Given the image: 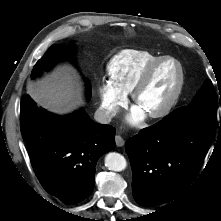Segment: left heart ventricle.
<instances>
[{
    "label": "left heart ventricle",
    "mask_w": 221,
    "mask_h": 221,
    "mask_svg": "<svg viewBox=\"0 0 221 221\" xmlns=\"http://www.w3.org/2000/svg\"><path fill=\"white\" fill-rule=\"evenodd\" d=\"M178 81V67L172 61L162 63L140 94L137 106L149 113L159 109L172 96Z\"/></svg>",
    "instance_id": "b2bd125f"
}]
</instances>
